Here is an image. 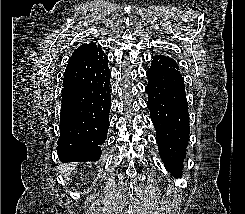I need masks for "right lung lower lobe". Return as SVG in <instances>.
<instances>
[{
  "mask_svg": "<svg viewBox=\"0 0 245 214\" xmlns=\"http://www.w3.org/2000/svg\"><path fill=\"white\" fill-rule=\"evenodd\" d=\"M78 53L72 54L64 73L57 152L62 162L97 161L107 138L111 108V72L106 59L99 77L83 86Z\"/></svg>",
  "mask_w": 245,
  "mask_h": 214,
  "instance_id": "98d812e1",
  "label": "right lung lower lobe"
}]
</instances>
